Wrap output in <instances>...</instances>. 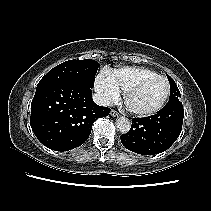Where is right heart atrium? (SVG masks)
<instances>
[{
    "label": "right heart atrium",
    "instance_id": "1",
    "mask_svg": "<svg viewBox=\"0 0 211 211\" xmlns=\"http://www.w3.org/2000/svg\"><path fill=\"white\" fill-rule=\"evenodd\" d=\"M95 90L100 101L104 104H112L119 100L120 90L114 82L109 71H101L95 80Z\"/></svg>",
    "mask_w": 211,
    "mask_h": 211
}]
</instances>
